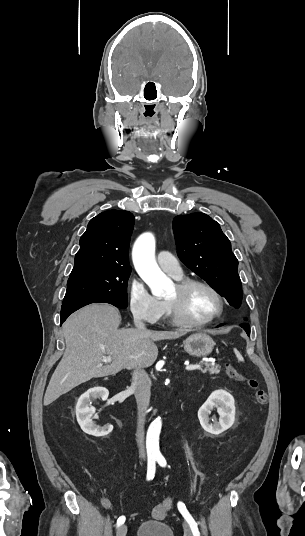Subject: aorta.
Instances as JSON below:
<instances>
[{"label": "aorta", "mask_w": 305, "mask_h": 536, "mask_svg": "<svg viewBox=\"0 0 305 536\" xmlns=\"http://www.w3.org/2000/svg\"><path fill=\"white\" fill-rule=\"evenodd\" d=\"M132 259L139 276L150 287L154 296H164L172 286L171 280L161 271L155 260V238L151 233H144L136 240ZM161 419L157 418L152 426L160 428Z\"/></svg>", "instance_id": "762f6f07"}]
</instances>
